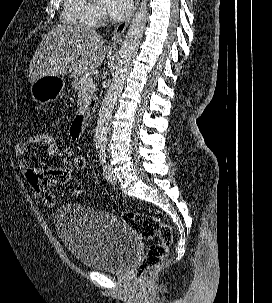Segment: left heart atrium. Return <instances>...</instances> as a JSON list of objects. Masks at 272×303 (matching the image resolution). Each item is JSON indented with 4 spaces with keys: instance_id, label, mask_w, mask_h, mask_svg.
I'll use <instances>...</instances> for the list:
<instances>
[{
    "instance_id": "left-heart-atrium-1",
    "label": "left heart atrium",
    "mask_w": 272,
    "mask_h": 303,
    "mask_svg": "<svg viewBox=\"0 0 272 303\" xmlns=\"http://www.w3.org/2000/svg\"><path fill=\"white\" fill-rule=\"evenodd\" d=\"M105 9L113 20H123L132 9V0H105Z\"/></svg>"
}]
</instances>
